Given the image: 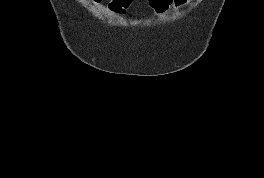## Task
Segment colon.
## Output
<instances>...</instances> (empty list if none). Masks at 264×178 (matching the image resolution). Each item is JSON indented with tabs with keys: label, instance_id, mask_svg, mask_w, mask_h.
<instances>
[{
	"label": "colon",
	"instance_id": "5ec220e1",
	"mask_svg": "<svg viewBox=\"0 0 264 178\" xmlns=\"http://www.w3.org/2000/svg\"><path fill=\"white\" fill-rule=\"evenodd\" d=\"M132 0H110L108 3V9L110 12L117 16H124L127 12ZM151 9L156 14H164L171 4V0H148Z\"/></svg>",
	"mask_w": 264,
	"mask_h": 178
}]
</instances>
